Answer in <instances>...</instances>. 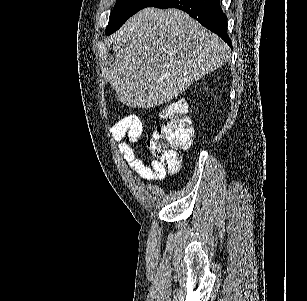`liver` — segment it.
Here are the masks:
<instances>
[{"label": "liver", "mask_w": 307, "mask_h": 301, "mask_svg": "<svg viewBox=\"0 0 307 301\" xmlns=\"http://www.w3.org/2000/svg\"><path fill=\"white\" fill-rule=\"evenodd\" d=\"M110 40L115 58L103 74L120 102L133 108L169 102L231 54L218 34L178 8H143Z\"/></svg>", "instance_id": "6515ba94"}]
</instances>
